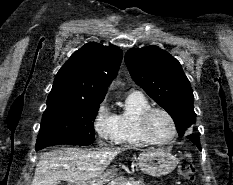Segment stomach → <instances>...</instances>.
I'll return each instance as SVG.
<instances>
[{
	"label": "stomach",
	"instance_id": "obj_1",
	"mask_svg": "<svg viewBox=\"0 0 233 185\" xmlns=\"http://www.w3.org/2000/svg\"><path fill=\"white\" fill-rule=\"evenodd\" d=\"M140 169L152 176H164L171 173L176 165V158L169 152L164 150L149 151L141 153L138 157ZM114 176L113 172L102 174L98 178L77 182L71 185H103L104 182Z\"/></svg>",
	"mask_w": 233,
	"mask_h": 185
}]
</instances>
